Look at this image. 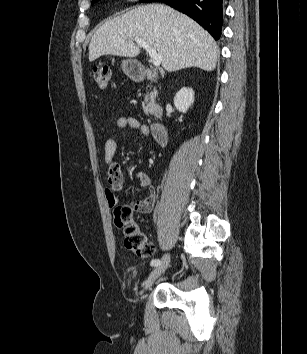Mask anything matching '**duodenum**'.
<instances>
[{
  "label": "duodenum",
  "mask_w": 307,
  "mask_h": 354,
  "mask_svg": "<svg viewBox=\"0 0 307 354\" xmlns=\"http://www.w3.org/2000/svg\"><path fill=\"white\" fill-rule=\"evenodd\" d=\"M138 81L144 79L157 80V75L150 69H145L141 74H134ZM156 121L150 125L151 133L158 145H166L168 141V131L165 124L161 121V110H155Z\"/></svg>",
  "instance_id": "410a0bca"
}]
</instances>
